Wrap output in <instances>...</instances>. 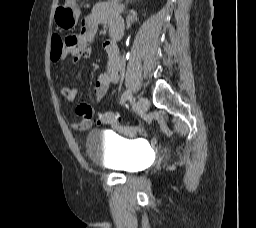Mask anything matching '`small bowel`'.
I'll list each match as a JSON object with an SVG mask.
<instances>
[{"mask_svg":"<svg viewBox=\"0 0 256 228\" xmlns=\"http://www.w3.org/2000/svg\"><path fill=\"white\" fill-rule=\"evenodd\" d=\"M121 11L122 6L118 2H105L96 5L92 12L82 21L80 32L66 37L63 52L54 61H63L71 57L73 63H78L81 60L89 59L91 56L90 44L98 27L101 24H106L111 30L114 25H123L120 16ZM103 49L107 54L108 62L106 71L98 76L94 86V96L97 101L101 100L110 88L120 81L121 60L116 39L112 37V39L105 40ZM60 93L67 101L73 102L77 98L78 88L62 86ZM75 115L79 119L72 122L71 125L76 131H85L91 127L94 112L90 105L86 103L77 105ZM115 129L123 133L128 131L121 127H116Z\"/></svg>","mask_w":256,"mask_h":228,"instance_id":"c3829d8e","label":"small bowel"}]
</instances>
